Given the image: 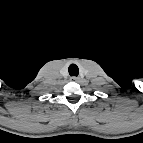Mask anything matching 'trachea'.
<instances>
[{"label": "trachea", "instance_id": "1", "mask_svg": "<svg viewBox=\"0 0 143 143\" xmlns=\"http://www.w3.org/2000/svg\"><path fill=\"white\" fill-rule=\"evenodd\" d=\"M68 71H69L70 76H78L79 74V69L77 65L75 64H71L68 68Z\"/></svg>", "mask_w": 143, "mask_h": 143}]
</instances>
